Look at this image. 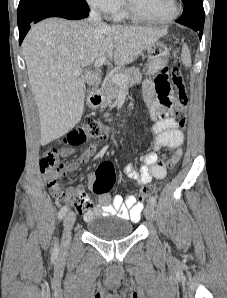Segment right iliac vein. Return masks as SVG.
<instances>
[{"label":"right iliac vein","instance_id":"obj_1","mask_svg":"<svg viewBox=\"0 0 227 298\" xmlns=\"http://www.w3.org/2000/svg\"><path fill=\"white\" fill-rule=\"evenodd\" d=\"M75 221H76L75 213L73 211L68 212L64 218V234L62 239L63 247H66L70 242L71 230L73 228Z\"/></svg>","mask_w":227,"mask_h":298}]
</instances>
